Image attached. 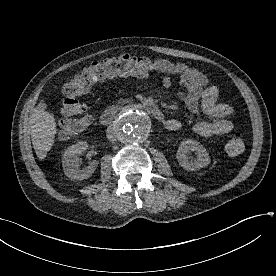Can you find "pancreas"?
I'll return each mask as SVG.
<instances>
[{
    "mask_svg": "<svg viewBox=\"0 0 276 276\" xmlns=\"http://www.w3.org/2000/svg\"><path fill=\"white\" fill-rule=\"evenodd\" d=\"M131 102V100H128V99H120L117 101L118 104H126V103H129Z\"/></svg>",
    "mask_w": 276,
    "mask_h": 276,
    "instance_id": "cf45deb5",
    "label": "pancreas"
}]
</instances>
